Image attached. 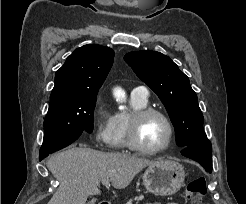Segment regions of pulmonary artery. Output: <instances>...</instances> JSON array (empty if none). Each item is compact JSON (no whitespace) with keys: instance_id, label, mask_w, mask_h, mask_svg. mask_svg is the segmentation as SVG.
<instances>
[{"instance_id":"pulmonary-artery-1","label":"pulmonary artery","mask_w":246,"mask_h":204,"mask_svg":"<svg viewBox=\"0 0 246 204\" xmlns=\"http://www.w3.org/2000/svg\"><path fill=\"white\" fill-rule=\"evenodd\" d=\"M131 95L146 99L148 98V90L144 86H137L132 90Z\"/></svg>"}]
</instances>
